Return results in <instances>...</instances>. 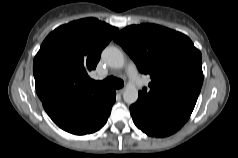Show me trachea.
I'll use <instances>...</instances> for the list:
<instances>
[{
  "mask_svg": "<svg viewBox=\"0 0 238 158\" xmlns=\"http://www.w3.org/2000/svg\"><path fill=\"white\" fill-rule=\"evenodd\" d=\"M92 83L97 86H104L115 89H120L124 86V82L121 79L115 78L113 76L107 77L103 81H93Z\"/></svg>",
  "mask_w": 238,
  "mask_h": 158,
  "instance_id": "1",
  "label": "trachea"
}]
</instances>
